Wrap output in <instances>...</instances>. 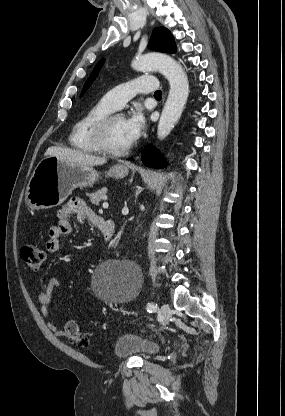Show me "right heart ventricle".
I'll return each mask as SVG.
<instances>
[{"label": "right heart ventricle", "mask_w": 285, "mask_h": 416, "mask_svg": "<svg viewBox=\"0 0 285 416\" xmlns=\"http://www.w3.org/2000/svg\"><path fill=\"white\" fill-rule=\"evenodd\" d=\"M111 109L100 99L92 104L76 121L69 136L70 145L77 151L84 154H94L95 148L91 132L94 124Z\"/></svg>", "instance_id": "1"}]
</instances>
